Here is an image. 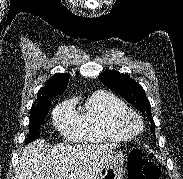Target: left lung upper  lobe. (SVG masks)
Here are the masks:
<instances>
[{
  "mask_svg": "<svg viewBox=\"0 0 183 179\" xmlns=\"http://www.w3.org/2000/svg\"><path fill=\"white\" fill-rule=\"evenodd\" d=\"M99 78L105 86L120 94L138 110L145 112L148 120L151 122L152 131H155L151 105L146 98L144 89L136 81L127 74H120L110 70L100 74Z\"/></svg>",
  "mask_w": 183,
  "mask_h": 179,
  "instance_id": "5c2ea615",
  "label": "left lung upper lobe"
}]
</instances>
